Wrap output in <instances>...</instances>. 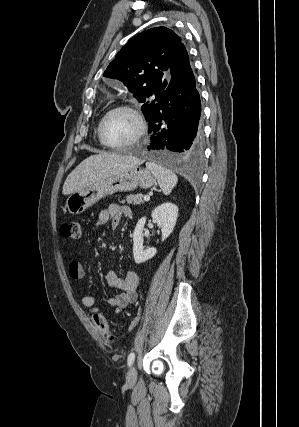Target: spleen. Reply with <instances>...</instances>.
<instances>
[{"instance_id":"obj_1","label":"spleen","mask_w":299,"mask_h":427,"mask_svg":"<svg viewBox=\"0 0 299 427\" xmlns=\"http://www.w3.org/2000/svg\"><path fill=\"white\" fill-rule=\"evenodd\" d=\"M146 167L157 179L163 193L169 195L178 182L177 175L155 162H146Z\"/></svg>"}]
</instances>
